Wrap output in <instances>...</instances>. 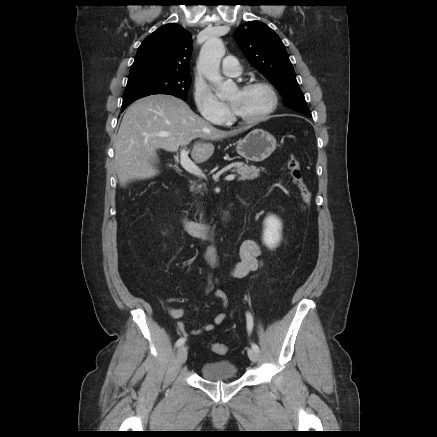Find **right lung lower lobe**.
<instances>
[{
	"instance_id": "98d812e1",
	"label": "right lung lower lobe",
	"mask_w": 437,
	"mask_h": 437,
	"mask_svg": "<svg viewBox=\"0 0 437 437\" xmlns=\"http://www.w3.org/2000/svg\"><path fill=\"white\" fill-rule=\"evenodd\" d=\"M126 108H121L122 111H124Z\"/></svg>"
}]
</instances>
